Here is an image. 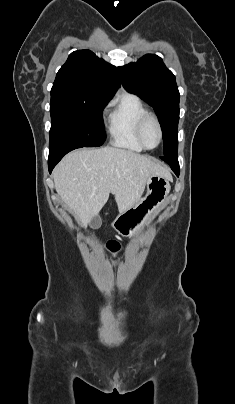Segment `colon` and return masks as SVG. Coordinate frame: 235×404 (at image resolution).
<instances>
[{
    "mask_svg": "<svg viewBox=\"0 0 235 404\" xmlns=\"http://www.w3.org/2000/svg\"><path fill=\"white\" fill-rule=\"evenodd\" d=\"M106 249L109 253L115 255L120 250V244L117 241L108 242Z\"/></svg>",
    "mask_w": 235,
    "mask_h": 404,
    "instance_id": "colon-1",
    "label": "colon"
}]
</instances>
